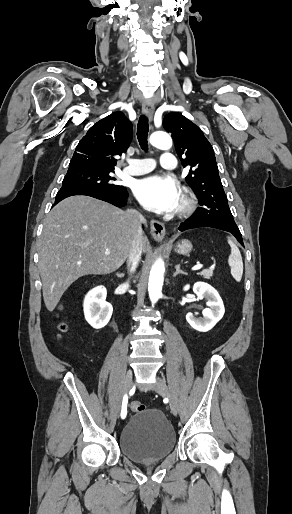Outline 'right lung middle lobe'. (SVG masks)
I'll return each instance as SVG.
<instances>
[{"label": "right lung middle lobe", "mask_w": 292, "mask_h": 514, "mask_svg": "<svg viewBox=\"0 0 292 514\" xmlns=\"http://www.w3.org/2000/svg\"><path fill=\"white\" fill-rule=\"evenodd\" d=\"M114 171L107 172H67L63 179L64 187H88L107 191H115L125 188L114 181L116 178L111 176Z\"/></svg>", "instance_id": "obj_1"}]
</instances>
